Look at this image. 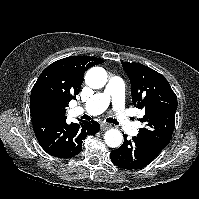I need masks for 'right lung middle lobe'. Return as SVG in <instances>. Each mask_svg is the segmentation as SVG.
I'll use <instances>...</instances> for the list:
<instances>
[{
  "label": "right lung middle lobe",
  "mask_w": 199,
  "mask_h": 199,
  "mask_svg": "<svg viewBox=\"0 0 199 199\" xmlns=\"http://www.w3.org/2000/svg\"><path fill=\"white\" fill-rule=\"evenodd\" d=\"M39 105L43 109H46V108H48L49 102L47 100H40Z\"/></svg>",
  "instance_id": "dd1d6c3e"
}]
</instances>
